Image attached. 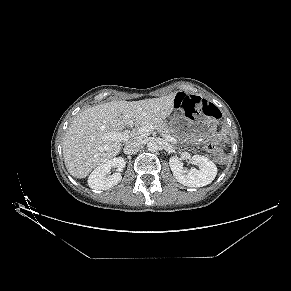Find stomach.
<instances>
[{
    "label": "stomach",
    "instance_id": "obj_1",
    "mask_svg": "<svg viewBox=\"0 0 291 291\" xmlns=\"http://www.w3.org/2000/svg\"><path fill=\"white\" fill-rule=\"evenodd\" d=\"M170 123L174 131H183L185 138L197 141L210 138L214 134L217 125V121L210 117L204 116L190 119L180 114H175Z\"/></svg>",
    "mask_w": 291,
    "mask_h": 291
}]
</instances>
